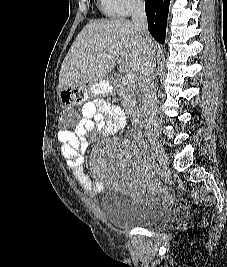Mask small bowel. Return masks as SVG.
<instances>
[{
	"mask_svg": "<svg viewBox=\"0 0 227 267\" xmlns=\"http://www.w3.org/2000/svg\"><path fill=\"white\" fill-rule=\"evenodd\" d=\"M126 126V116L121 107L106 100L89 101L82 105L80 119L73 130H59L58 140L72 176L80 188L89 196H96L101 183L90 177L83 168V155L91 140L88 134L97 131L104 137L120 132ZM139 195L150 197L156 190L148 182L136 186Z\"/></svg>",
	"mask_w": 227,
	"mask_h": 267,
	"instance_id": "1",
	"label": "small bowel"
}]
</instances>
